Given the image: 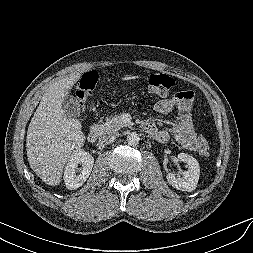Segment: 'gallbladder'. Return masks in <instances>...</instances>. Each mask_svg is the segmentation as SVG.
Returning a JSON list of instances; mask_svg holds the SVG:
<instances>
[{"label":"gallbladder","mask_w":253,"mask_h":253,"mask_svg":"<svg viewBox=\"0 0 253 253\" xmlns=\"http://www.w3.org/2000/svg\"><path fill=\"white\" fill-rule=\"evenodd\" d=\"M62 108L67 117L77 118L80 116V104L78 100L71 96L66 95L62 101Z\"/></svg>","instance_id":"bac80fb5"}]
</instances>
